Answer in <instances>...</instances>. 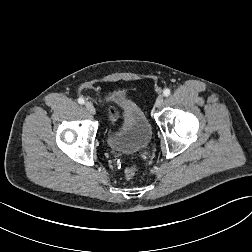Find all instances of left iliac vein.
Wrapping results in <instances>:
<instances>
[{
  "label": "left iliac vein",
  "instance_id": "4c4485c4",
  "mask_svg": "<svg viewBox=\"0 0 252 252\" xmlns=\"http://www.w3.org/2000/svg\"><path fill=\"white\" fill-rule=\"evenodd\" d=\"M164 97L162 95H159L155 101V107L160 108L163 104Z\"/></svg>",
  "mask_w": 252,
  "mask_h": 252
}]
</instances>
